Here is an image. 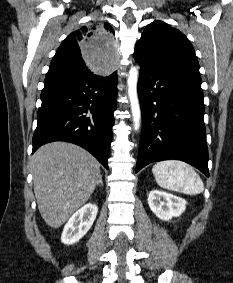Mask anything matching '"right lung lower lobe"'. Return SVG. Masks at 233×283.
<instances>
[{
	"instance_id": "98d812e1",
	"label": "right lung lower lobe",
	"mask_w": 233,
	"mask_h": 283,
	"mask_svg": "<svg viewBox=\"0 0 233 283\" xmlns=\"http://www.w3.org/2000/svg\"><path fill=\"white\" fill-rule=\"evenodd\" d=\"M116 98V71L46 78L32 153L43 144L67 141L85 148L108 168Z\"/></svg>"
}]
</instances>
